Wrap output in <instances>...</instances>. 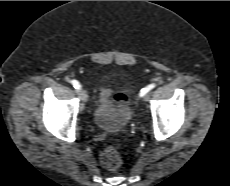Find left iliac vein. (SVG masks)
<instances>
[{
    "label": "left iliac vein",
    "instance_id": "obj_1",
    "mask_svg": "<svg viewBox=\"0 0 230 186\" xmlns=\"http://www.w3.org/2000/svg\"><path fill=\"white\" fill-rule=\"evenodd\" d=\"M144 101H148L149 100V95L148 94H145L144 97H143Z\"/></svg>",
    "mask_w": 230,
    "mask_h": 186
}]
</instances>
